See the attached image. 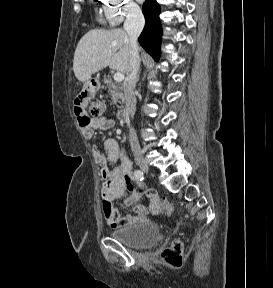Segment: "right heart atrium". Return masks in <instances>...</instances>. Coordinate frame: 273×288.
<instances>
[{
    "instance_id": "right-heart-atrium-1",
    "label": "right heart atrium",
    "mask_w": 273,
    "mask_h": 288,
    "mask_svg": "<svg viewBox=\"0 0 273 288\" xmlns=\"http://www.w3.org/2000/svg\"><path fill=\"white\" fill-rule=\"evenodd\" d=\"M101 3L105 18L111 26L119 25L125 18L140 12L134 0H101Z\"/></svg>"
}]
</instances>
